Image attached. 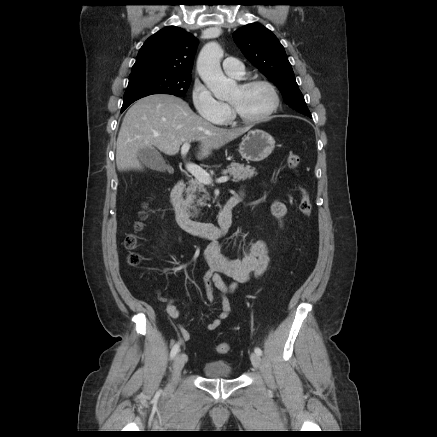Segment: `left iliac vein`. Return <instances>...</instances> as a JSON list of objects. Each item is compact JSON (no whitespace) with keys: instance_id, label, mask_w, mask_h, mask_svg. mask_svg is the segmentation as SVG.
<instances>
[{"instance_id":"1","label":"left iliac vein","mask_w":437,"mask_h":437,"mask_svg":"<svg viewBox=\"0 0 437 437\" xmlns=\"http://www.w3.org/2000/svg\"><path fill=\"white\" fill-rule=\"evenodd\" d=\"M251 363L255 369H259L261 365L260 355L256 353H251L250 355Z\"/></svg>"}]
</instances>
